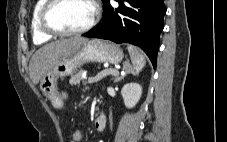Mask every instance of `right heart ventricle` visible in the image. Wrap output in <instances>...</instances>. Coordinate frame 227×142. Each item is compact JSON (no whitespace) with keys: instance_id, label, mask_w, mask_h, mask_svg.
<instances>
[{"instance_id":"right-heart-ventricle-1","label":"right heart ventricle","mask_w":227,"mask_h":142,"mask_svg":"<svg viewBox=\"0 0 227 142\" xmlns=\"http://www.w3.org/2000/svg\"><path fill=\"white\" fill-rule=\"evenodd\" d=\"M46 3V0H37L33 6L32 15H31V31L32 38L34 43L42 44L50 39H52V35L44 32L40 27L39 15L43 5Z\"/></svg>"}]
</instances>
